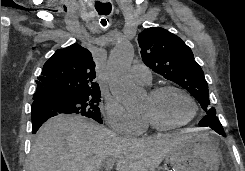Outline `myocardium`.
<instances>
[{
	"label": "myocardium",
	"instance_id": "1",
	"mask_svg": "<svg viewBox=\"0 0 245 171\" xmlns=\"http://www.w3.org/2000/svg\"><path fill=\"white\" fill-rule=\"evenodd\" d=\"M170 90H174L177 91L179 93H181L182 95H184L188 101L190 102L191 106H192V113L191 115L183 122L180 123H175V124H169V123H164L162 121H160L158 118H156L153 114L151 113H144L145 118L149 121V123L156 129L161 130V131H169V130H175V129H179L182 128L186 125H188L189 123H191L195 117L197 116L198 113V105L194 99V97L184 88L177 86V85H173V84H165V85H161L158 87H155L154 89H152L149 92V96L153 99L159 97L161 94H163L166 91H170Z\"/></svg>",
	"mask_w": 245,
	"mask_h": 171
}]
</instances>
